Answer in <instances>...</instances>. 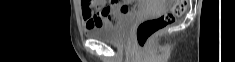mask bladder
I'll return each mask as SVG.
<instances>
[{"label":"bladder","mask_w":235,"mask_h":62,"mask_svg":"<svg viewBox=\"0 0 235 62\" xmlns=\"http://www.w3.org/2000/svg\"><path fill=\"white\" fill-rule=\"evenodd\" d=\"M136 19V13L131 11L120 13L115 21L104 26L89 29L86 35L104 43H122L128 35L129 29Z\"/></svg>","instance_id":"1"}]
</instances>
